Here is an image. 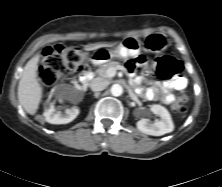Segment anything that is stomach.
Masks as SVG:
<instances>
[{
	"label": "stomach",
	"mask_w": 222,
	"mask_h": 187,
	"mask_svg": "<svg viewBox=\"0 0 222 187\" xmlns=\"http://www.w3.org/2000/svg\"><path fill=\"white\" fill-rule=\"evenodd\" d=\"M142 45L149 52L160 53L164 51L169 43L167 36L163 33L153 32L147 35L143 42L135 37H126L114 49H99L94 55V62H106L111 59H127L138 55Z\"/></svg>",
	"instance_id": "1"
}]
</instances>
